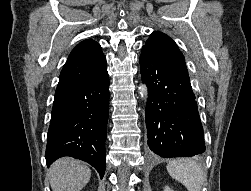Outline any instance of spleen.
<instances>
[{
    "label": "spleen",
    "instance_id": "1",
    "mask_svg": "<svg viewBox=\"0 0 251 191\" xmlns=\"http://www.w3.org/2000/svg\"><path fill=\"white\" fill-rule=\"evenodd\" d=\"M168 173L181 181L188 191H200L204 181V171L193 159H173L166 165Z\"/></svg>",
    "mask_w": 251,
    "mask_h": 191
}]
</instances>
